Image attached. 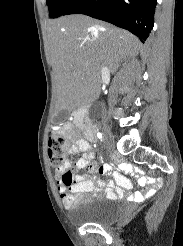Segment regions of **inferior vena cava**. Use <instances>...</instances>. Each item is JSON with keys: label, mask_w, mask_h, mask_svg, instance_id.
I'll list each match as a JSON object with an SVG mask.
<instances>
[{"label": "inferior vena cava", "mask_w": 183, "mask_h": 246, "mask_svg": "<svg viewBox=\"0 0 183 246\" xmlns=\"http://www.w3.org/2000/svg\"><path fill=\"white\" fill-rule=\"evenodd\" d=\"M101 72H102V74L108 73V68H107L106 66H103V67L101 68Z\"/></svg>", "instance_id": "inferior-vena-cava-1"}]
</instances>
